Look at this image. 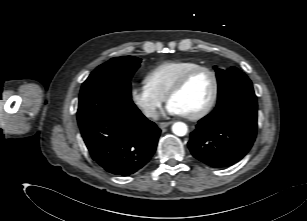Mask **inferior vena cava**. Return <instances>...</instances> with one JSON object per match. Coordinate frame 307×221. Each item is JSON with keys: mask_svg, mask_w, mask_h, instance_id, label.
<instances>
[{"mask_svg": "<svg viewBox=\"0 0 307 221\" xmlns=\"http://www.w3.org/2000/svg\"><path fill=\"white\" fill-rule=\"evenodd\" d=\"M146 116L152 117V118H157L158 115H157L156 109L153 107V108L146 110Z\"/></svg>", "mask_w": 307, "mask_h": 221, "instance_id": "obj_1", "label": "inferior vena cava"}]
</instances>
